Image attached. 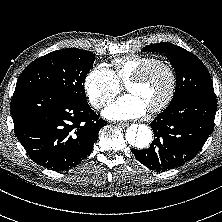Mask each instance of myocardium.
Wrapping results in <instances>:
<instances>
[{"label": "myocardium", "mask_w": 222, "mask_h": 222, "mask_svg": "<svg viewBox=\"0 0 222 222\" xmlns=\"http://www.w3.org/2000/svg\"><path fill=\"white\" fill-rule=\"evenodd\" d=\"M156 66H161L168 72L169 78H170V83H169L168 91H167L166 95L164 96V98L161 100V102L148 109V111L151 113H157V112L162 111L163 109H165L169 105V103L173 99L175 92H176V87H177V75H176L174 67L167 61L160 60V59H154V60L142 65L126 81V84L132 83V82H140L145 78V76L148 74V72Z\"/></svg>", "instance_id": "f54148a6"}]
</instances>
